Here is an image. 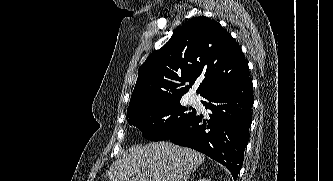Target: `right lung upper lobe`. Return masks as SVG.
<instances>
[{"mask_svg":"<svg viewBox=\"0 0 333 181\" xmlns=\"http://www.w3.org/2000/svg\"><path fill=\"white\" fill-rule=\"evenodd\" d=\"M249 77L232 36L212 19L195 17L181 26L138 70L128 110L146 102L181 98L195 81L201 96ZM185 82L190 85L183 86Z\"/></svg>","mask_w":333,"mask_h":181,"instance_id":"1","label":"right lung upper lobe"}]
</instances>
